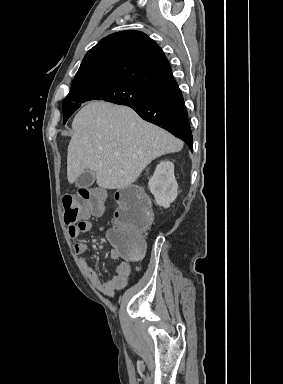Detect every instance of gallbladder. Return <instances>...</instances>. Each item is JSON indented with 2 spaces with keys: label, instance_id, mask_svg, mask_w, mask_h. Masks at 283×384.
<instances>
[{
  "label": "gallbladder",
  "instance_id": "bac80fb5",
  "mask_svg": "<svg viewBox=\"0 0 283 384\" xmlns=\"http://www.w3.org/2000/svg\"><path fill=\"white\" fill-rule=\"evenodd\" d=\"M93 182H94L93 172H91V170H84V174H81L78 180H76V186L77 188L79 186H86L87 188H89V186H92Z\"/></svg>",
  "mask_w": 283,
  "mask_h": 384
}]
</instances>
